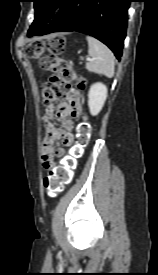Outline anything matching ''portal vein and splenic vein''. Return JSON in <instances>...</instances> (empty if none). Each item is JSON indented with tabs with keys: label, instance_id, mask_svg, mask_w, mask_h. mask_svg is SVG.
Here are the masks:
<instances>
[{
	"label": "portal vein and splenic vein",
	"instance_id": "18ae733b",
	"mask_svg": "<svg viewBox=\"0 0 158 275\" xmlns=\"http://www.w3.org/2000/svg\"><path fill=\"white\" fill-rule=\"evenodd\" d=\"M93 59L92 58H87V61H92Z\"/></svg>",
	"mask_w": 158,
	"mask_h": 275
}]
</instances>
